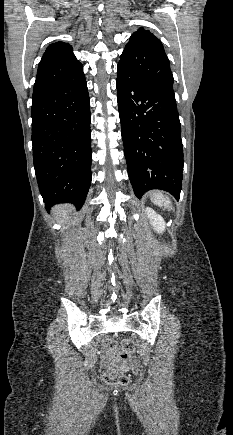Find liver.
<instances>
[{
    "instance_id": "1",
    "label": "liver",
    "mask_w": 233,
    "mask_h": 435,
    "mask_svg": "<svg viewBox=\"0 0 233 435\" xmlns=\"http://www.w3.org/2000/svg\"><path fill=\"white\" fill-rule=\"evenodd\" d=\"M72 210L73 207L70 205H59L54 208L53 212L57 215V218L64 223L69 220Z\"/></svg>"
}]
</instances>
